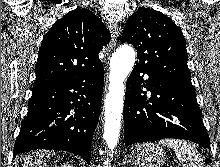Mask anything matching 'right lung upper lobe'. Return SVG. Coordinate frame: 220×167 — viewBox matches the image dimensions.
Returning a JSON list of instances; mask_svg holds the SVG:
<instances>
[{
  "label": "right lung upper lobe",
  "mask_w": 220,
  "mask_h": 167,
  "mask_svg": "<svg viewBox=\"0 0 220 167\" xmlns=\"http://www.w3.org/2000/svg\"><path fill=\"white\" fill-rule=\"evenodd\" d=\"M111 35L88 9H75L45 34L35 66L33 90L85 75L102 66L98 53Z\"/></svg>",
  "instance_id": "obj_1"
}]
</instances>
